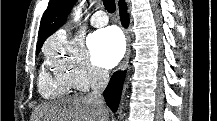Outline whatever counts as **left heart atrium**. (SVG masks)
Listing matches in <instances>:
<instances>
[{"label":"left heart atrium","mask_w":217,"mask_h":121,"mask_svg":"<svg viewBox=\"0 0 217 121\" xmlns=\"http://www.w3.org/2000/svg\"><path fill=\"white\" fill-rule=\"evenodd\" d=\"M88 45L93 60L106 69L115 66L124 52L122 35L113 27L93 33L89 37Z\"/></svg>","instance_id":"39dd6f15"}]
</instances>
